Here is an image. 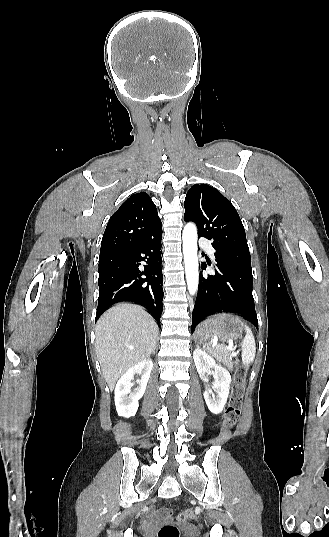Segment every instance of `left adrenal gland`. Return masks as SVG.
Wrapping results in <instances>:
<instances>
[{
	"instance_id": "left-adrenal-gland-1",
	"label": "left adrenal gland",
	"mask_w": 329,
	"mask_h": 537,
	"mask_svg": "<svg viewBox=\"0 0 329 537\" xmlns=\"http://www.w3.org/2000/svg\"><path fill=\"white\" fill-rule=\"evenodd\" d=\"M196 346H197V347H199V344H198V343H196Z\"/></svg>"
}]
</instances>
